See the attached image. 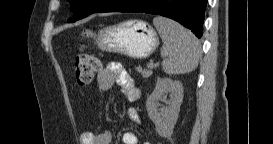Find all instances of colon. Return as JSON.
I'll list each match as a JSON object with an SVG mask.
<instances>
[{
    "mask_svg": "<svg viewBox=\"0 0 273 144\" xmlns=\"http://www.w3.org/2000/svg\"><path fill=\"white\" fill-rule=\"evenodd\" d=\"M74 63L77 83L82 87L90 85L100 68L99 60L92 54L82 53L75 58Z\"/></svg>",
    "mask_w": 273,
    "mask_h": 144,
    "instance_id": "obj_1",
    "label": "colon"
}]
</instances>
